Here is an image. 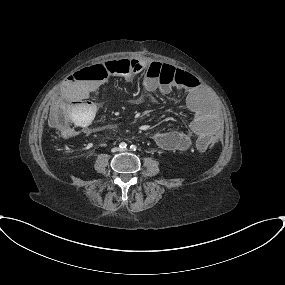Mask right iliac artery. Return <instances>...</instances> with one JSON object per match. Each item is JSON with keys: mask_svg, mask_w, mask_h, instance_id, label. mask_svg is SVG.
Listing matches in <instances>:
<instances>
[{"mask_svg": "<svg viewBox=\"0 0 285 285\" xmlns=\"http://www.w3.org/2000/svg\"><path fill=\"white\" fill-rule=\"evenodd\" d=\"M119 147H120L121 149H125V148L127 147V144L124 143V142H122V143H120Z\"/></svg>", "mask_w": 285, "mask_h": 285, "instance_id": "1", "label": "right iliac artery"}]
</instances>
